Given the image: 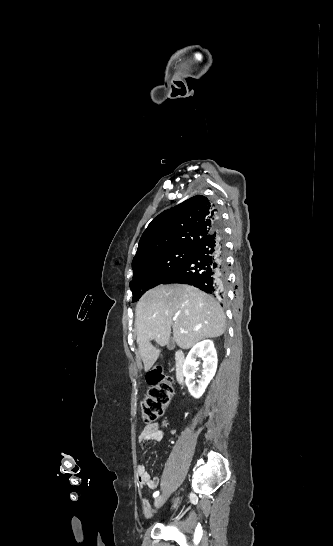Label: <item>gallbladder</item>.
Returning <instances> with one entry per match:
<instances>
[{
    "label": "gallbladder",
    "mask_w": 333,
    "mask_h": 546,
    "mask_svg": "<svg viewBox=\"0 0 333 546\" xmlns=\"http://www.w3.org/2000/svg\"><path fill=\"white\" fill-rule=\"evenodd\" d=\"M167 348L169 350H173L175 348V342H174V340L172 338H170V340L168 341Z\"/></svg>",
    "instance_id": "bac80fb5"
}]
</instances>
